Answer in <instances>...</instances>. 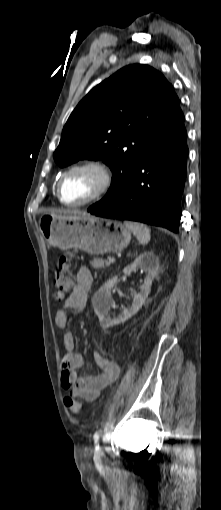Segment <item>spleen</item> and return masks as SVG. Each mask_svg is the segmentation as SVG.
<instances>
[{"instance_id": "spleen-1", "label": "spleen", "mask_w": 221, "mask_h": 510, "mask_svg": "<svg viewBox=\"0 0 221 510\" xmlns=\"http://www.w3.org/2000/svg\"><path fill=\"white\" fill-rule=\"evenodd\" d=\"M125 227L131 231L142 245H146L150 241V228L142 223L125 221Z\"/></svg>"}]
</instances>
